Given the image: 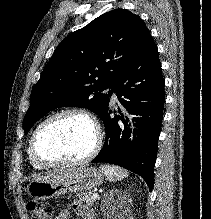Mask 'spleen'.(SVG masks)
<instances>
[{
	"label": "spleen",
	"instance_id": "spleen-1",
	"mask_svg": "<svg viewBox=\"0 0 211 219\" xmlns=\"http://www.w3.org/2000/svg\"><path fill=\"white\" fill-rule=\"evenodd\" d=\"M100 168L107 179L112 182L122 180L129 175L127 171L113 165H102Z\"/></svg>",
	"mask_w": 211,
	"mask_h": 219
}]
</instances>
